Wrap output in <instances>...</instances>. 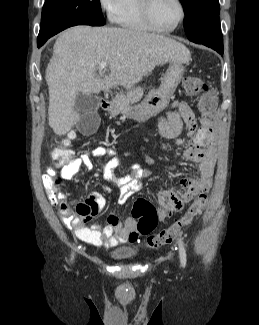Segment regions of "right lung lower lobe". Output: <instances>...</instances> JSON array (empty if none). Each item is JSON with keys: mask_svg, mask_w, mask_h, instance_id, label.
<instances>
[{"mask_svg": "<svg viewBox=\"0 0 259 325\" xmlns=\"http://www.w3.org/2000/svg\"><path fill=\"white\" fill-rule=\"evenodd\" d=\"M48 39H45L43 41H37V46L40 48Z\"/></svg>", "mask_w": 259, "mask_h": 325, "instance_id": "right-lung-lower-lobe-1", "label": "right lung lower lobe"}]
</instances>
